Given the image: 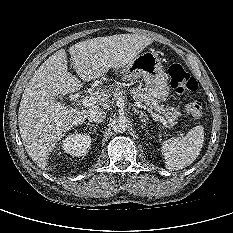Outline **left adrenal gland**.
Listing matches in <instances>:
<instances>
[{
    "mask_svg": "<svg viewBox=\"0 0 233 233\" xmlns=\"http://www.w3.org/2000/svg\"><path fill=\"white\" fill-rule=\"evenodd\" d=\"M133 111H134V113H137V114L140 115V121L143 122V124H144L146 122V120H145L146 115L142 111H139V110H137L135 108H133Z\"/></svg>",
    "mask_w": 233,
    "mask_h": 233,
    "instance_id": "obj_1",
    "label": "left adrenal gland"
}]
</instances>
